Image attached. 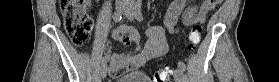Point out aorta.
Masks as SVG:
<instances>
[{"mask_svg": "<svg viewBox=\"0 0 279 82\" xmlns=\"http://www.w3.org/2000/svg\"><path fill=\"white\" fill-rule=\"evenodd\" d=\"M141 4V0H137V5L139 6Z\"/></svg>", "mask_w": 279, "mask_h": 82, "instance_id": "762f6f07", "label": "aorta"}]
</instances>
